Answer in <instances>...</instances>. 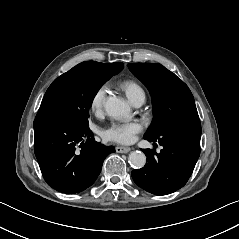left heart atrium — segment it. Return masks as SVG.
<instances>
[{
	"label": "left heart atrium",
	"instance_id": "left-heart-atrium-1",
	"mask_svg": "<svg viewBox=\"0 0 239 239\" xmlns=\"http://www.w3.org/2000/svg\"><path fill=\"white\" fill-rule=\"evenodd\" d=\"M144 127L140 119L129 121L115 120L103 130V137L121 144H131Z\"/></svg>",
	"mask_w": 239,
	"mask_h": 239
}]
</instances>
